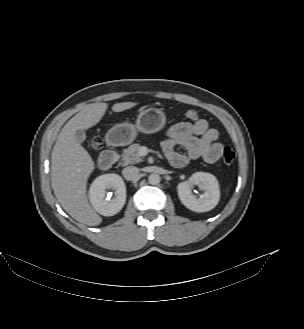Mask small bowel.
I'll use <instances>...</instances> for the list:
<instances>
[{
	"instance_id": "1",
	"label": "small bowel",
	"mask_w": 304,
	"mask_h": 329,
	"mask_svg": "<svg viewBox=\"0 0 304 329\" xmlns=\"http://www.w3.org/2000/svg\"><path fill=\"white\" fill-rule=\"evenodd\" d=\"M166 135L167 140L162 149L169 163L175 168H182L195 159L215 163L222 156L223 145L217 142L219 133L210 128L205 119H198L193 123H176L167 130ZM177 146L183 147L185 152H178Z\"/></svg>"
}]
</instances>
